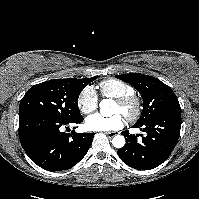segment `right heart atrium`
<instances>
[{
	"instance_id": "1",
	"label": "right heart atrium",
	"mask_w": 199,
	"mask_h": 199,
	"mask_svg": "<svg viewBox=\"0 0 199 199\" xmlns=\"http://www.w3.org/2000/svg\"><path fill=\"white\" fill-rule=\"evenodd\" d=\"M78 107L80 111L87 115L94 112L98 107V97L92 86H86L78 96Z\"/></svg>"
}]
</instances>
